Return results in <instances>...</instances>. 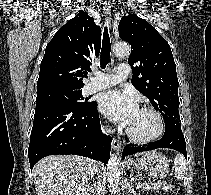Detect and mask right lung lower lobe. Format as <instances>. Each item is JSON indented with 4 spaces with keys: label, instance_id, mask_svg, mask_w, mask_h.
I'll return each instance as SVG.
<instances>
[{
    "label": "right lung lower lobe",
    "instance_id": "right-lung-lower-lobe-1",
    "mask_svg": "<svg viewBox=\"0 0 211 195\" xmlns=\"http://www.w3.org/2000/svg\"><path fill=\"white\" fill-rule=\"evenodd\" d=\"M96 101L84 107L36 106L28 157L30 167L48 155L73 154L108 162L111 137L101 134Z\"/></svg>",
    "mask_w": 211,
    "mask_h": 195
}]
</instances>
